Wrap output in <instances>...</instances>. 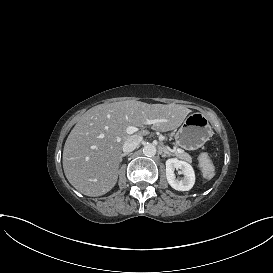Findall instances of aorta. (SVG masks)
<instances>
[{
    "label": "aorta",
    "instance_id": "aorta-1",
    "mask_svg": "<svg viewBox=\"0 0 273 273\" xmlns=\"http://www.w3.org/2000/svg\"><path fill=\"white\" fill-rule=\"evenodd\" d=\"M157 153V148L152 143H147L143 147V154L147 157H153Z\"/></svg>",
    "mask_w": 273,
    "mask_h": 273
}]
</instances>
